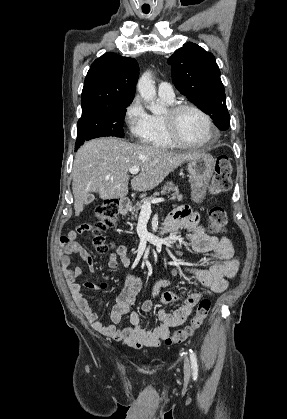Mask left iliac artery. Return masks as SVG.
Masks as SVG:
<instances>
[{
  "label": "left iliac artery",
  "instance_id": "obj_1",
  "mask_svg": "<svg viewBox=\"0 0 287 419\" xmlns=\"http://www.w3.org/2000/svg\"><path fill=\"white\" fill-rule=\"evenodd\" d=\"M190 360H191L192 375L194 379H196L198 376L197 357L192 350H190Z\"/></svg>",
  "mask_w": 287,
  "mask_h": 419
}]
</instances>
